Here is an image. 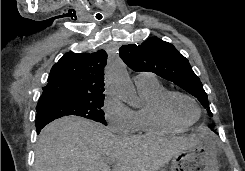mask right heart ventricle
Returning a JSON list of instances; mask_svg holds the SVG:
<instances>
[{"mask_svg": "<svg viewBox=\"0 0 245 171\" xmlns=\"http://www.w3.org/2000/svg\"><path fill=\"white\" fill-rule=\"evenodd\" d=\"M143 105L135 113L137 132L148 135H163L181 132L183 127L168 123L159 112V101L167 89L157 80L137 85Z\"/></svg>", "mask_w": 245, "mask_h": 171, "instance_id": "1", "label": "right heart ventricle"}]
</instances>
